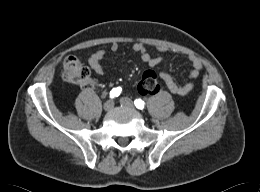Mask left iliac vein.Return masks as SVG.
<instances>
[{"label":"left iliac vein","instance_id":"1","mask_svg":"<svg viewBox=\"0 0 260 192\" xmlns=\"http://www.w3.org/2000/svg\"><path fill=\"white\" fill-rule=\"evenodd\" d=\"M120 103L125 106V107H128L130 109L134 108V104H133V101L128 98V97H122L120 98Z\"/></svg>","mask_w":260,"mask_h":192}]
</instances>
